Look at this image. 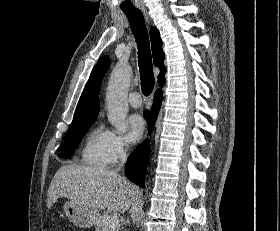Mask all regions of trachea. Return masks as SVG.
<instances>
[{"label": "trachea", "instance_id": "1", "mask_svg": "<svg viewBox=\"0 0 280 231\" xmlns=\"http://www.w3.org/2000/svg\"><path fill=\"white\" fill-rule=\"evenodd\" d=\"M130 28L138 44V59L141 76V89L145 96L150 95L154 88V73L150 52V41L143 14L138 9L124 10Z\"/></svg>", "mask_w": 280, "mask_h": 231}]
</instances>
